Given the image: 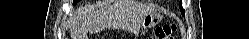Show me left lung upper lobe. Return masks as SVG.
<instances>
[{"label": "left lung upper lobe", "mask_w": 249, "mask_h": 39, "mask_svg": "<svg viewBox=\"0 0 249 39\" xmlns=\"http://www.w3.org/2000/svg\"><path fill=\"white\" fill-rule=\"evenodd\" d=\"M181 11L184 13L185 11L183 9H181Z\"/></svg>", "instance_id": "5c2ea615"}]
</instances>
